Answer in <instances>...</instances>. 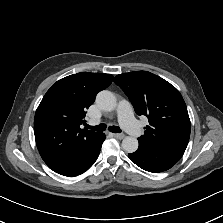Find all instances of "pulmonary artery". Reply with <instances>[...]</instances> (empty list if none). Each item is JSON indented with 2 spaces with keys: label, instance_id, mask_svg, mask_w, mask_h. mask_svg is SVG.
Instances as JSON below:
<instances>
[{
  "label": "pulmonary artery",
  "instance_id": "obj_1",
  "mask_svg": "<svg viewBox=\"0 0 223 223\" xmlns=\"http://www.w3.org/2000/svg\"><path fill=\"white\" fill-rule=\"evenodd\" d=\"M114 115L117 117L120 125L124 126L125 131L130 133L132 137L139 138L142 136L143 129L133 120V111L127 101L122 100L118 103ZM90 124H95V121L90 120Z\"/></svg>",
  "mask_w": 223,
  "mask_h": 223
}]
</instances>
